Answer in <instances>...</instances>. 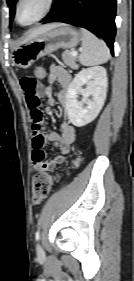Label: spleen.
<instances>
[{"label": "spleen", "instance_id": "obj_1", "mask_svg": "<svg viewBox=\"0 0 134 281\" xmlns=\"http://www.w3.org/2000/svg\"><path fill=\"white\" fill-rule=\"evenodd\" d=\"M82 33V51L79 62L84 66H94L107 62L110 58V51L106 43L98 39L86 29Z\"/></svg>", "mask_w": 134, "mask_h": 281}]
</instances>
